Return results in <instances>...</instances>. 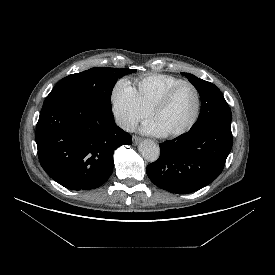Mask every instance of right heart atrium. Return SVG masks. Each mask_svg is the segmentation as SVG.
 <instances>
[{"mask_svg":"<svg viewBox=\"0 0 275 275\" xmlns=\"http://www.w3.org/2000/svg\"><path fill=\"white\" fill-rule=\"evenodd\" d=\"M111 102L115 119L124 130H130L138 121L150 114L136 89L127 80L116 83L111 93Z\"/></svg>","mask_w":275,"mask_h":275,"instance_id":"right-heart-atrium-1","label":"right heart atrium"}]
</instances>
